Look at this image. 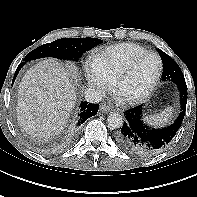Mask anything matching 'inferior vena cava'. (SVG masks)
<instances>
[{"instance_id": "1", "label": "inferior vena cava", "mask_w": 197, "mask_h": 197, "mask_svg": "<svg viewBox=\"0 0 197 197\" xmlns=\"http://www.w3.org/2000/svg\"><path fill=\"white\" fill-rule=\"evenodd\" d=\"M84 94H85V100L89 103H99L103 98L102 93L93 88H87Z\"/></svg>"}]
</instances>
